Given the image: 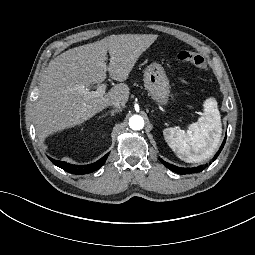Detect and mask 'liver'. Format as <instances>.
Wrapping results in <instances>:
<instances>
[{
	"label": "liver",
	"instance_id": "liver-1",
	"mask_svg": "<svg viewBox=\"0 0 255 255\" xmlns=\"http://www.w3.org/2000/svg\"><path fill=\"white\" fill-rule=\"evenodd\" d=\"M158 39L155 34L113 35L101 41L70 49L49 63L35 106V129L39 139L89 121L96 114L119 102L121 110L129 99L128 80L140 56ZM107 53L110 77L118 81L102 96L85 98L88 91L106 78Z\"/></svg>",
	"mask_w": 255,
	"mask_h": 255
}]
</instances>
